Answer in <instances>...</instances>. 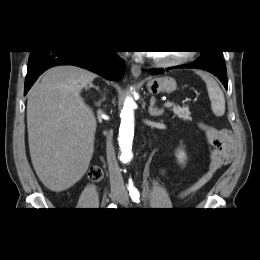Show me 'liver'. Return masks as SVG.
Listing matches in <instances>:
<instances>
[{
    "mask_svg": "<svg viewBox=\"0 0 260 260\" xmlns=\"http://www.w3.org/2000/svg\"><path fill=\"white\" fill-rule=\"evenodd\" d=\"M95 78L96 74L80 67L55 66L29 91L31 161L41 182L52 191L70 188L88 170L97 123L80 93Z\"/></svg>",
    "mask_w": 260,
    "mask_h": 260,
    "instance_id": "1",
    "label": "liver"
}]
</instances>
